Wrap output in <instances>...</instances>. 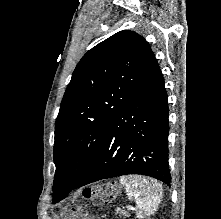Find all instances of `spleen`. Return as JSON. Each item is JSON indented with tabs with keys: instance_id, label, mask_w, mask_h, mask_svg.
I'll use <instances>...</instances> for the list:
<instances>
[{
	"instance_id": "3e777b00",
	"label": "spleen",
	"mask_w": 221,
	"mask_h": 219,
	"mask_svg": "<svg viewBox=\"0 0 221 219\" xmlns=\"http://www.w3.org/2000/svg\"><path fill=\"white\" fill-rule=\"evenodd\" d=\"M120 183L125 187L128 198L136 202L137 218L154 214L162 198L160 183L140 176H121Z\"/></svg>"
}]
</instances>
